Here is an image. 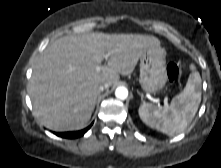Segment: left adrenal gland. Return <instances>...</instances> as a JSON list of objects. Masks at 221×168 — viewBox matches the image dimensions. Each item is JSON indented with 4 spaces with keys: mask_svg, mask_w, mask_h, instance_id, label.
<instances>
[{
    "mask_svg": "<svg viewBox=\"0 0 221 168\" xmlns=\"http://www.w3.org/2000/svg\"><path fill=\"white\" fill-rule=\"evenodd\" d=\"M140 94V93H139ZM140 96H141V100H142V102L144 103V100H143V97H142V95L140 94Z\"/></svg>",
    "mask_w": 221,
    "mask_h": 168,
    "instance_id": "a2214340",
    "label": "left adrenal gland"
}]
</instances>
